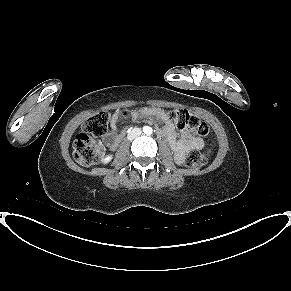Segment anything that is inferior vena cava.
Here are the masks:
<instances>
[{
	"mask_svg": "<svg viewBox=\"0 0 291 291\" xmlns=\"http://www.w3.org/2000/svg\"><path fill=\"white\" fill-rule=\"evenodd\" d=\"M142 133L140 128H133L127 135L128 140H133L136 137L140 136Z\"/></svg>",
	"mask_w": 291,
	"mask_h": 291,
	"instance_id": "inferior-vena-cava-1",
	"label": "inferior vena cava"
}]
</instances>
